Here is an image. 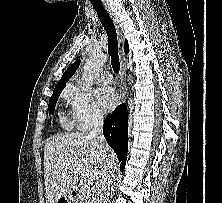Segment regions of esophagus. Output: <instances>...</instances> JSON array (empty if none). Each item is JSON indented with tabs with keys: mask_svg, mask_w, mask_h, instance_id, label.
<instances>
[{
	"mask_svg": "<svg viewBox=\"0 0 222 203\" xmlns=\"http://www.w3.org/2000/svg\"><path fill=\"white\" fill-rule=\"evenodd\" d=\"M105 9L110 15L117 33V41H118V51L120 56V72H119V81H120V102H123L125 99V82H124V75H125V64H126V56L124 53V47H123V35L121 32V29L118 25L117 19L115 17L114 12L111 10L110 6L108 4H105Z\"/></svg>",
	"mask_w": 222,
	"mask_h": 203,
	"instance_id": "1",
	"label": "esophagus"
}]
</instances>
